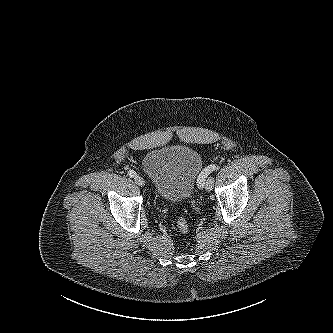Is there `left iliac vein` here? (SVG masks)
Here are the masks:
<instances>
[{
	"instance_id": "4c4485c4",
	"label": "left iliac vein",
	"mask_w": 333,
	"mask_h": 333,
	"mask_svg": "<svg viewBox=\"0 0 333 333\" xmlns=\"http://www.w3.org/2000/svg\"><path fill=\"white\" fill-rule=\"evenodd\" d=\"M214 184V178L212 176H209L208 179L205 182V188L207 191H211Z\"/></svg>"
}]
</instances>
